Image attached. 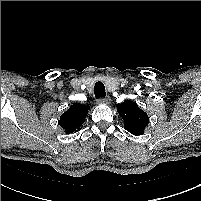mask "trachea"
Returning <instances> with one entry per match:
<instances>
[{
  "mask_svg": "<svg viewBox=\"0 0 201 201\" xmlns=\"http://www.w3.org/2000/svg\"><path fill=\"white\" fill-rule=\"evenodd\" d=\"M94 94L97 99L104 98L106 96L105 86L102 82L98 81L94 86Z\"/></svg>",
  "mask_w": 201,
  "mask_h": 201,
  "instance_id": "1",
  "label": "trachea"
}]
</instances>
